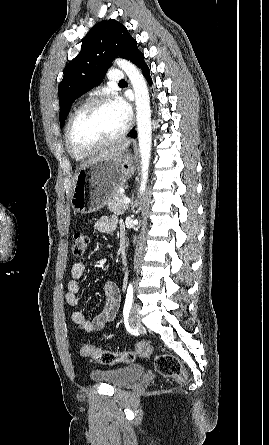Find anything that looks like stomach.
Wrapping results in <instances>:
<instances>
[{
  "label": "stomach",
  "mask_w": 269,
  "mask_h": 445,
  "mask_svg": "<svg viewBox=\"0 0 269 445\" xmlns=\"http://www.w3.org/2000/svg\"><path fill=\"white\" fill-rule=\"evenodd\" d=\"M134 170L135 159L130 153L117 158L100 159L80 168L72 189V208L80 214L100 210L133 175Z\"/></svg>",
  "instance_id": "0dacf381"
}]
</instances>
